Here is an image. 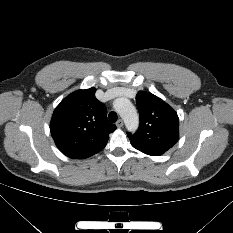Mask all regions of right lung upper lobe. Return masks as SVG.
<instances>
[{
	"instance_id": "obj_1",
	"label": "right lung upper lobe",
	"mask_w": 233,
	"mask_h": 233,
	"mask_svg": "<svg viewBox=\"0 0 233 233\" xmlns=\"http://www.w3.org/2000/svg\"><path fill=\"white\" fill-rule=\"evenodd\" d=\"M95 88L77 90L56 107L50 131L58 149L72 159H85L101 151L116 126L107 120L106 107Z\"/></svg>"
}]
</instances>
